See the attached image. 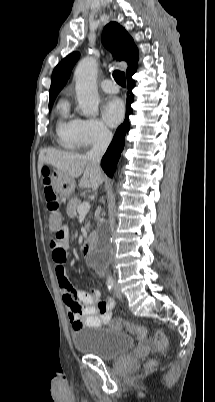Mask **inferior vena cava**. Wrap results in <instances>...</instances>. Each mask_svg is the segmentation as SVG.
Returning a JSON list of instances; mask_svg holds the SVG:
<instances>
[{"label":"inferior vena cava","mask_w":215,"mask_h":402,"mask_svg":"<svg viewBox=\"0 0 215 402\" xmlns=\"http://www.w3.org/2000/svg\"><path fill=\"white\" fill-rule=\"evenodd\" d=\"M111 140H112V133L107 129H102L98 135L97 141L94 144L93 148L86 154V158L97 169H100L101 158L104 155Z\"/></svg>","instance_id":"inferior-vena-cava-1"}]
</instances>
